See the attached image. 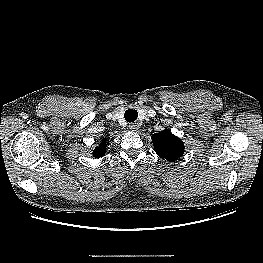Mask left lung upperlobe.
<instances>
[{
	"label": "left lung upper lobe",
	"mask_w": 263,
	"mask_h": 263,
	"mask_svg": "<svg viewBox=\"0 0 263 263\" xmlns=\"http://www.w3.org/2000/svg\"><path fill=\"white\" fill-rule=\"evenodd\" d=\"M155 152L162 159L175 162L184 154V144L170 130H164L160 133L152 135Z\"/></svg>",
	"instance_id": "5c2ea615"
}]
</instances>
